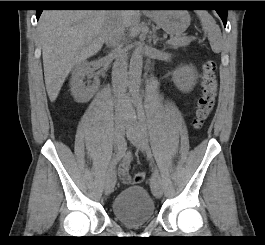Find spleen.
I'll list each match as a JSON object with an SVG mask.
<instances>
[{
    "label": "spleen",
    "mask_w": 265,
    "mask_h": 245,
    "mask_svg": "<svg viewBox=\"0 0 265 245\" xmlns=\"http://www.w3.org/2000/svg\"><path fill=\"white\" fill-rule=\"evenodd\" d=\"M196 14L201 21L203 31L208 35L212 50L215 53L221 52L223 48V40L219 26L207 11L198 10L196 11Z\"/></svg>",
    "instance_id": "obj_1"
}]
</instances>
